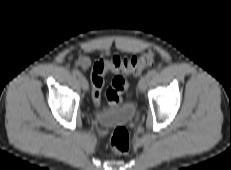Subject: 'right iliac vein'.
Segmentation results:
<instances>
[{"mask_svg":"<svg viewBox=\"0 0 231 170\" xmlns=\"http://www.w3.org/2000/svg\"><path fill=\"white\" fill-rule=\"evenodd\" d=\"M78 81H79V83H80L82 89H83L84 91H88V89H89V84H88L87 79H86L84 76L80 75V76L78 77Z\"/></svg>","mask_w":231,"mask_h":170,"instance_id":"obj_1","label":"right iliac vein"}]
</instances>
